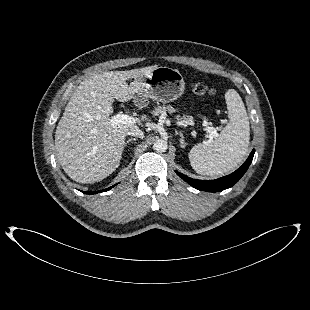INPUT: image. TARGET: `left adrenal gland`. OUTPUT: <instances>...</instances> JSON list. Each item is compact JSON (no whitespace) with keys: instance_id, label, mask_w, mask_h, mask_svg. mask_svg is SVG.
Listing matches in <instances>:
<instances>
[{"instance_id":"left-adrenal-gland-1","label":"left adrenal gland","mask_w":310,"mask_h":310,"mask_svg":"<svg viewBox=\"0 0 310 310\" xmlns=\"http://www.w3.org/2000/svg\"><path fill=\"white\" fill-rule=\"evenodd\" d=\"M176 134H179V135H180V139H179L180 147L184 149V148L186 147V143L184 142L183 133H182V132H177V131H176Z\"/></svg>"}]
</instances>
